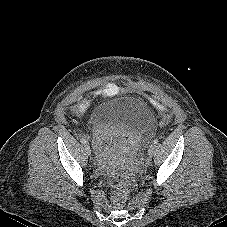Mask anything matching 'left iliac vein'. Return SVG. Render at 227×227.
<instances>
[{"mask_svg": "<svg viewBox=\"0 0 227 227\" xmlns=\"http://www.w3.org/2000/svg\"><path fill=\"white\" fill-rule=\"evenodd\" d=\"M154 150H155V146L154 145H150L149 149H148V156L152 157L154 155Z\"/></svg>", "mask_w": 227, "mask_h": 227, "instance_id": "left-iliac-vein-1", "label": "left iliac vein"}]
</instances>
